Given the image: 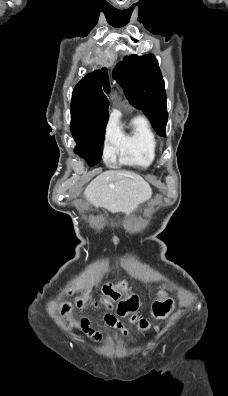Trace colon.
<instances>
[{"label": "colon", "mask_w": 228, "mask_h": 396, "mask_svg": "<svg viewBox=\"0 0 228 396\" xmlns=\"http://www.w3.org/2000/svg\"><path fill=\"white\" fill-rule=\"evenodd\" d=\"M122 297L123 299H121ZM115 301H119L118 314L120 316L133 314L138 308V297L128 292V288L125 282L108 283L104 285L102 302L106 305H110L112 302ZM82 304L83 301L78 302L79 306ZM171 310L172 301L166 296L165 291L162 290L160 292L159 299L156 300L153 304V314L158 319H165L166 317H168ZM105 321L110 326L120 327V324L117 323L116 318L113 315H106ZM147 325L148 323L146 320L140 321L141 328H146Z\"/></svg>", "instance_id": "obj_1"}]
</instances>
